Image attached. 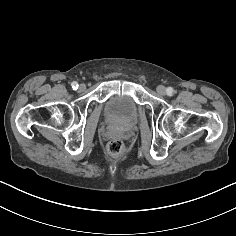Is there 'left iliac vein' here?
<instances>
[{"mask_svg": "<svg viewBox=\"0 0 236 236\" xmlns=\"http://www.w3.org/2000/svg\"><path fill=\"white\" fill-rule=\"evenodd\" d=\"M156 90H157V93H158L159 95H165V93H166V88H165L163 85H159V86L156 88Z\"/></svg>", "mask_w": 236, "mask_h": 236, "instance_id": "4c4485c4", "label": "left iliac vein"}]
</instances>
